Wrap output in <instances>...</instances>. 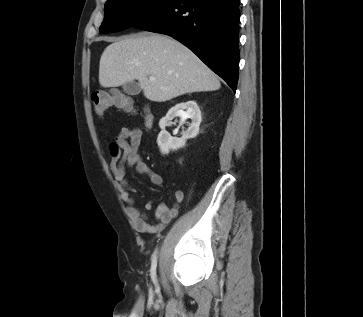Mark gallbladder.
Segmentation results:
<instances>
[{
  "mask_svg": "<svg viewBox=\"0 0 363 317\" xmlns=\"http://www.w3.org/2000/svg\"><path fill=\"white\" fill-rule=\"evenodd\" d=\"M123 91L128 95L135 96L141 92V87L138 83L130 81L123 85Z\"/></svg>",
  "mask_w": 363,
  "mask_h": 317,
  "instance_id": "gallbladder-1",
  "label": "gallbladder"
}]
</instances>
